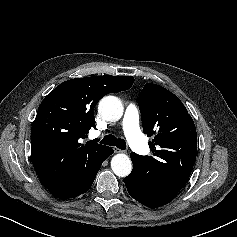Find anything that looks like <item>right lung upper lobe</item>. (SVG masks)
<instances>
[{"label":"right lung upper lobe","mask_w":237,"mask_h":237,"mask_svg":"<svg viewBox=\"0 0 237 237\" xmlns=\"http://www.w3.org/2000/svg\"><path fill=\"white\" fill-rule=\"evenodd\" d=\"M132 76H93L61 83L41 102L31 129L36 173L52 195L73 196L85 182L80 166L101 157L107 146L92 140L94 107L108 93L131 88Z\"/></svg>","instance_id":"cb5924a9"}]
</instances>
